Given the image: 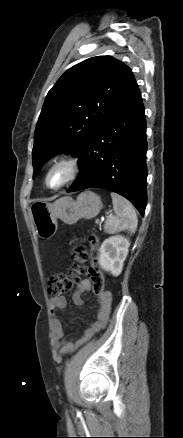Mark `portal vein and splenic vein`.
Returning a JSON list of instances; mask_svg holds the SVG:
<instances>
[{
    "label": "portal vein and splenic vein",
    "mask_w": 183,
    "mask_h": 438,
    "mask_svg": "<svg viewBox=\"0 0 183 438\" xmlns=\"http://www.w3.org/2000/svg\"><path fill=\"white\" fill-rule=\"evenodd\" d=\"M96 223L99 224L101 223V221L99 219H96Z\"/></svg>",
    "instance_id": "obj_1"
}]
</instances>
